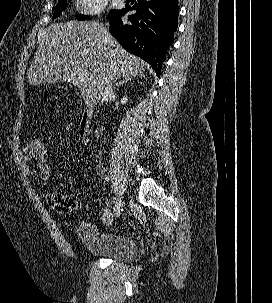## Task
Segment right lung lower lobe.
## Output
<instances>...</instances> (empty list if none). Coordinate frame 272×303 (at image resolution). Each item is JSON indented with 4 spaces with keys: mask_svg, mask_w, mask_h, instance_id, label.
<instances>
[{
    "mask_svg": "<svg viewBox=\"0 0 272 303\" xmlns=\"http://www.w3.org/2000/svg\"><path fill=\"white\" fill-rule=\"evenodd\" d=\"M136 10L128 20L121 16ZM178 0H138L109 16L110 33L130 53L148 62L158 75L178 27Z\"/></svg>",
    "mask_w": 272,
    "mask_h": 303,
    "instance_id": "obj_1",
    "label": "right lung lower lobe"
}]
</instances>
